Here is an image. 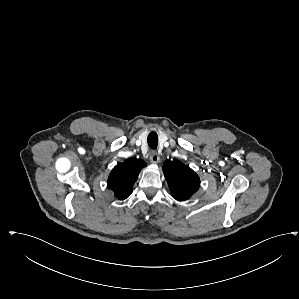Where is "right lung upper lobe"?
<instances>
[{"label":"right lung upper lobe","instance_id":"obj_1","mask_svg":"<svg viewBox=\"0 0 299 299\" xmlns=\"http://www.w3.org/2000/svg\"><path fill=\"white\" fill-rule=\"evenodd\" d=\"M146 163L143 160L128 159L117 164L108 177V187L119 200L126 199L132 193V187L138 174Z\"/></svg>","mask_w":299,"mask_h":299}]
</instances>
